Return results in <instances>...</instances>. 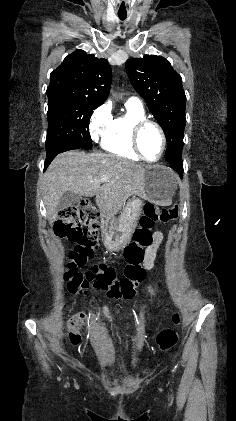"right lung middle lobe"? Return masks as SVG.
<instances>
[{"label": "right lung middle lobe", "instance_id": "right-lung-middle-lobe-1", "mask_svg": "<svg viewBox=\"0 0 236 421\" xmlns=\"http://www.w3.org/2000/svg\"><path fill=\"white\" fill-rule=\"evenodd\" d=\"M100 105L86 98L48 96L46 154L64 145L91 149L89 121L93 110Z\"/></svg>", "mask_w": 236, "mask_h": 421}]
</instances>
